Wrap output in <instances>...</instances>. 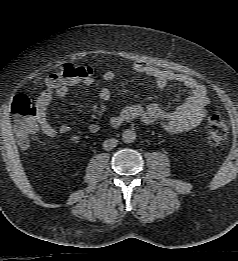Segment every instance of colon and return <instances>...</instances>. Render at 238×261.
Wrapping results in <instances>:
<instances>
[{"instance_id": "5ec220e1", "label": "colon", "mask_w": 238, "mask_h": 261, "mask_svg": "<svg viewBox=\"0 0 238 261\" xmlns=\"http://www.w3.org/2000/svg\"><path fill=\"white\" fill-rule=\"evenodd\" d=\"M92 73L91 68L85 66L64 65L58 72L50 76L52 83L83 77ZM14 117V130L21 147L29 145L32 137L38 131L36 107L25 95L17 96L11 106ZM227 123L223 117L213 114L208 119L207 141L210 145H219L227 135Z\"/></svg>"}]
</instances>
